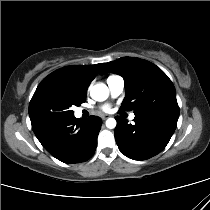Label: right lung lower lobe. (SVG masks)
Listing matches in <instances>:
<instances>
[{
    "label": "right lung lower lobe",
    "mask_w": 210,
    "mask_h": 210,
    "mask_svg": "<svg viewBox=\"0 0 210 210\" xmlns=\"http://www.w3.org/2000/svg\"><path fill=\"white\" fill-rule=\"evenodd\" d=\"M102 120L97 116L77 119L74 115L33 129L42 146L64 163H80L92 157Z\"/></svg>",
    "instance_id": "98d812e1"
}]
</instances>
